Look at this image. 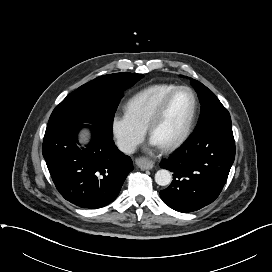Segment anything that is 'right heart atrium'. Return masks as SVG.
<instances>
[{
    "mask_svg": "<svg viewBox=\"0 0 272 272\" xmlns=\"http://www.w3.org/2000/svg\"><path fill=\"white\" fill-rule=\"evenodd\" d=\"M111 131L119 149L127 154L136 150L146 133L126 112L113 115Z\"/></svg>",
    "mask_w": 272,
    "mask_h": 272,
    "instance_id": "d8ad5b80",
    "label": "right heart atrium"
}]
</instances>
